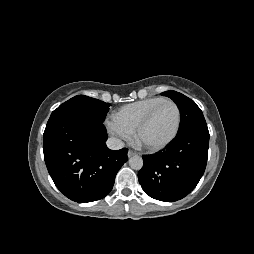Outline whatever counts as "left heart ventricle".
Returning <instances> with one entry per match:
<instances>
[{"label":"left heart ventricle","mask_w":254,"mask_h":254,"mask_svg":"<svg viewBox=\"0 0 254 254\" xmlns=\"http://www.w3.org/2000/svg\"><path fill=\"white\" fill-rule=\"evenodd\" d=\"M176 122V108L170 103L162 105L142 131L140 136L141 141L150 146L163 143L173 133Z\"/></svg>","instance_id":"obj_1"}]
</instances>
